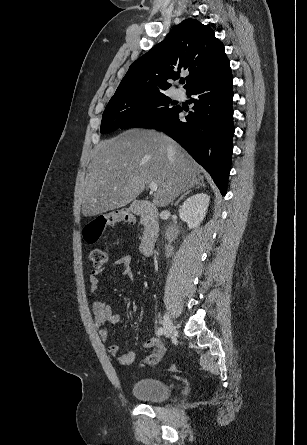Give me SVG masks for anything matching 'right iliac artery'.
I'll list each match as a JSON object with an SVG mask.
<instances>
[{
	"label": "right iliac artery",
	"mask_w": 307,
	"mask_h": 445,
	"mask_svg": "<svg viewBox=\"0 0 307 445\" xmlns=\"http://www.w3.org/2000/svg\"><path fill=\"white\" fill-rule=\"evenodd\" d=\"M163 333H164V329L162 327H159L158 330H157V334L159 336H161Z\"/></svg>",
	"instance_id": "82829eb1"
}]
</instances>
